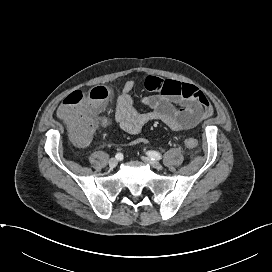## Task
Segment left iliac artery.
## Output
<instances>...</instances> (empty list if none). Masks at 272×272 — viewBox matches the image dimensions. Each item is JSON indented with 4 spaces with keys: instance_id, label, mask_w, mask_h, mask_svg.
Segmentation results:
<instances>
[{
    "instance_id": "left-iliac-artery-1",
    "label": "left iliac artery",
    "mask_w": 272,
    "mask_h": 272,
    "mask_svg": "<svg viewBox=\"0 0 272 272\" xmlns=\"http://www.w3.org/2000/svg\"><path fill=\"white\" fill-rule=\"evenodd\" d=\"M147 155L150 156L153 160H160L162 158L161 154L157 151H148Z\"/></svg>"
}]
</instances>
